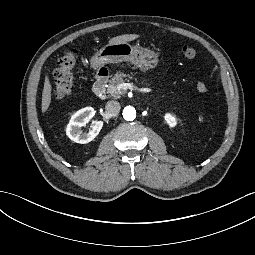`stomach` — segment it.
Listing matches in <instances>:
<instances>
[{
    "instance_id": "1",
    "label": "stomach",
    "mask_w": 255,
    "mask_h": 255,
    "mask_svg": "<svg viewBox=\"0 0 255 255\" xmlns=\"http://www.w3.org/2000/svg\"><path fill=\"white\" fill-rule=\"evenodd\" d=\"M120 62H130L146 71L157 65L158 55L150 49L132 46L128 42L107 44L94 54L91 67L99 69L106 64Z\"/></svg>"
}]
</instances>
